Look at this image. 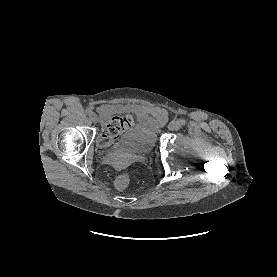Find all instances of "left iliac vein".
<instances>
[{
	"label": "left iliac vein",
	"instance_id": "1",
	"mask_svg": "<svg viewBox=\"0 0 277 277\" xmlns=\"http://www.w3.org/2000/svg\"><path fill=\"white\" fill-rule=\"evenodd\" d=\"M179 127H180L179 122L175 120L171 121L168 125V128L171 131H176L179 129Z\"/></svg>",
	"mask_w": 277,
	"mask_h": 277
}]
</instances>
